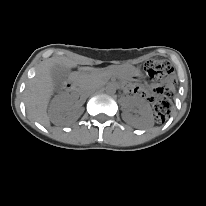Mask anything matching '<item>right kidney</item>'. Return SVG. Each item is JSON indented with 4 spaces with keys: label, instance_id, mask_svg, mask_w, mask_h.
Here are the masks:
<instances>
[{
    "label": "right kidney",
    "instance_id": "obj_1",
    "mask_svg": "<svg viewBox=\"0 0 206 206\" xmlns=\"http://www.w3.org/2000/svg\"><path fill=\"white\" fill-rule=\"evenodd\" d=\"M76 97L74 95H58L56 96L48 110L49 118L53 123H65L76 120L80 112L74 106Z\"/></svg>",
    "mask_w": 206,
    "mask_h": 206
}]
</instances>
